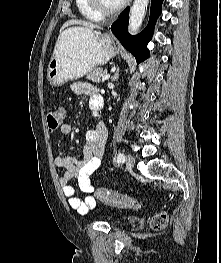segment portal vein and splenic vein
<instances>
[{"label": "portal vein and splenic vein", "mask_w": 221, "mask_h": 263, "mask_svg": "<svg viewBox=\"0 0 221 263\" xmlns=\"http://www.w3.org/2000/svg\"><path fill=\"white\" fill-rule=\"evenodd\" d=\"M110 78V74H105L102 76L103 80H108Z\"/></svg>", "instance_id": "18ae733b"}]
</instances>
